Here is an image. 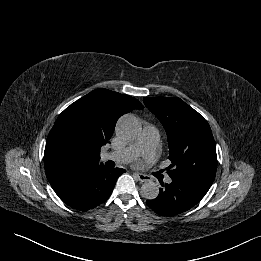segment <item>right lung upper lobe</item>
Here are the masks:
<instances>
[{
	"label": "right lung upper lobe",
	"mask_w": 261,
	"mask_h": 261,
	"mask_svg": "<svg viewBox=\"0 0 261 261\" xmlns=\"http://www.w3.org/2000/svg\"><path fill=\"white\" fill-rule=\"evenodd\" d=\"M143 108L137 99L104 88L72 103L58 116L46 141L44 167L49 182L98 165L100 148L111 138L117 120Z\"/></svg>",
	"instance_id": "1"
}]
</instances>
